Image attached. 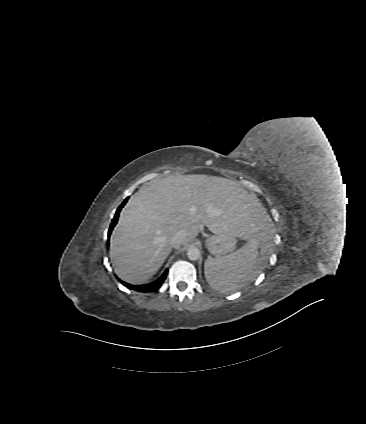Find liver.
Masks as SVG:
<instances>
[{"label":"liver","instance_id":"liver-1","mask_svg":"<svg viewBox=\"0 0 366 424\" xmlns=\"http://www.w3.org/2000/svg\"><path fill=\"white\" fill-rule=\"evenodd\" d=\"M203 226L214 234L266 241L270 224L256 196L236 181L208 175L155 179L130 197L112 232L115 273L129 283L147 281L172 251L175 233L184 231L187 244Z\"/></svg>","mask_w":366,"mask_h":424}]
</instances>
